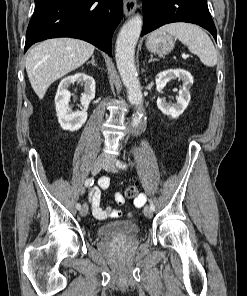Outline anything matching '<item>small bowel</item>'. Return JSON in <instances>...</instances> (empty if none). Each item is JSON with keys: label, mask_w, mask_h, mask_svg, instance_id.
<instances>
[{"label": "small bowel", "mask_w": 247, "mask_h": 296, "mask_svg": "<svg viewBox=\"0 0 247 296\" xmlns=\"http://www.w3.org/2000/svg\"><path fill=\"white\" fill-rule=\"evenodd\" d=\"M110 185V179L108 177H103L99 181L98 187H94L90 190L88 194V200L91 206L92 214L95 218L99 220H105L108 217H116L118 215V211L108 207L103 209L100 206L101 200V193L103 190H107ZM115 201L118 204H124L125 198L123 194L116 193L115 194ZM146 202V196L143 194H139L134 200L135 207H141Z\"/></svg>", "instance_id": "small-bowel-1"}]
</instances>
